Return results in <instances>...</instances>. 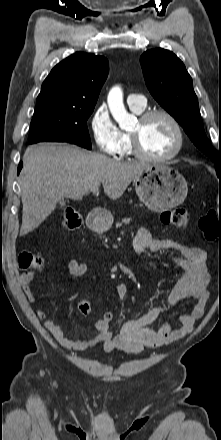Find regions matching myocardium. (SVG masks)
Wrapping results in <instances>:
<instances>
[{
  "label": "myocardium",
  "mask_w": 221,
  "mask_h": 440,
  "mask_svg": "<svg viewBox=\"0 0 221 440\" xmlns=\"http://www.w3.org/2000/svg\"><path fill=\"white\" fill-rule=\"evenodd\" d=\"M155 116L165 117L166 119L169 120V122L174 127L177 141H176V146L174 147L173 151L171 153H169L168 155L161 156V157L149 155L142 149L139 137L135 133L130 132L129 135H130V140H131L132 153L137 158L144 160V161L164 163V162H167V161L174 159L182 151L183 146H184V132H183L182 126L179 123V121L177 120V118L172 113H170L169 111H167L165 109L158 108V109H152V110L145 111L139 115L138 120L141 123H143V122H146Z\"/></svg>",
  "instance_id": "myocardium-1"
}]
</instances>
